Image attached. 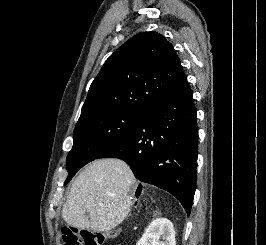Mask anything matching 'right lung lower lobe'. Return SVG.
Returning <instances> with one entry per match:
<instances>
[{"label":"right lung lower lobe","mask_w":266,"mask_h":245,"mask_svg":"<svg viewBox=\"0 0 266 245\" xmlns=\"http://www.w3.org/2000/svg\"><path fill=\"white\" fill-rule=\"evenodd\" d=\"M196 115L187 82L152 105L121 142L97 159L124 160L137 179L168 191L189 215L196 189Z\"/></svg>","instance_id":"right-lung-lower-lobe-1"}]
</instances>
